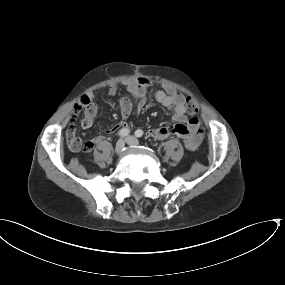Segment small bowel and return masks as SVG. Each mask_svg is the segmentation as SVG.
I'll return each mask as SVG.
<instances>
[{
    "label": "small bowel",
    "instance_id": "c3829d8e",
    "mask_svg": "<svg viewBox=\"0 0 285 285\" xmlns=\"http://www.w3.org/2000/svg\"><path fill=\"white\" fill-rule=\"evenodd\" d=\"M148 87L149 80L145 77H140L137 80L127 83L126 90L130 97H123L120 99L121 120L111 129V132L127 128V118L131 113L133 99L137 101L139 110L146 106ZM117 92L118 86L116 84L110 85L107 89V94L109 96H114ZM87 96L91 101L94 100V93L92 91H88ZM155 99L159 104L172 110L174 124L170 126L153 127L148 131L149 136L158 140L170 136H178L182 138L187 150H196L204 138V130L202 129L201 121L198 116H186L187 109L184 95L172 90L169 92L159 90L155 93ZM95 115L96 107L92 104L84 112V118L81 122L82 127L85 129L91 128ZM74 133L75 126L72 124L68 127L66 135L70 150L76 152L79 151V149L76 148L72 139ZM98 140H100V136L87 140L86 146L81 150L85 152L90 151L93 148L94 143Z\"/></svg>",
    "mask_w": 285,
    "mask_h": 285
}]
</instances>
